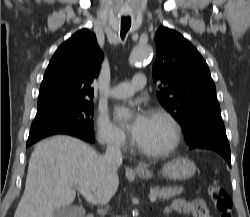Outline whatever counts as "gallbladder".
<instances>
[{
  "label": "gallbladder",
  "instance_id": "bac80fb5",
  "mask_svg": "<svg viewBox=\"0 0 250 217\" xmlns=\"http://www.w3.org/2000/svg\"><path fill=\"white\" fill-rule=\"evenodd\" d=\"M55 217H84V211L77 206L66 207L56 212Z\"/></svg>",
  "mask_w": 250,
  "mask_h": 217
}]
</instances>
